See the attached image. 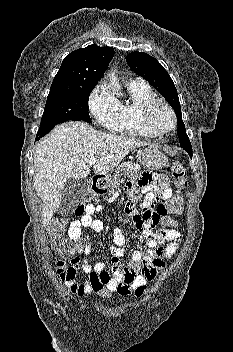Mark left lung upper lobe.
I'll return each mask as SVG.
<instances>
[{
  "instance_id": "5c2ea615",
  "label": "left lung upper lobe",
  "mask_w": 233,
  "mask_h": 352,
  "mask_svg": "<svg viewBox=\"0 0 233 352\" xmlns=\"http://www.w3.org/2000/svg\"><path fill=\"white\" fill-rule=\"evenodd\" d=\"M129 67L139 76L145 78L175 110L177 116V134L180 146L188 153L192 152L190 140L182 121L181 107L175 85L163 66L147 53L131 52L126 56Z\"/></svg>"
}]
</instances>
